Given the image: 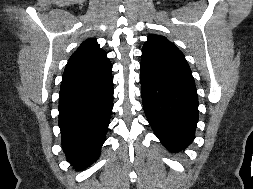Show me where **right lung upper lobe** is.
Masks as SVG:
<instances>
[{
    "instance_id": "1",
    "label": "right lung upper lobe",
    "mask_w": 253,
    "mask_h": 189,
    "mask_svg": "<svg viewBox=\"0 0 253 189\" xmlns=\"http://www.w3.org/2000/svg\"><path fill=\"white\" fill-rule=\"evenodd\" d=\"M112 66L106 52L95 38L85 40L70 57L62 81L90 82L111 72Z\"/></svg>"
}]
</instances>
